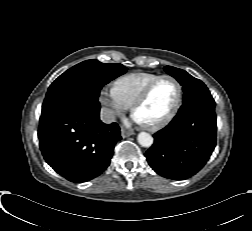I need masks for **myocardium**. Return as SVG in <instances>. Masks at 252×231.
<instances>
[{"label": "myocardium", "mask_w": 252, "mask_h": 231, "mask_svg": "<svg viewBox=\"0 0 252 231\" xmlns=\"http://www.w3.org/2000/svg\"><path fill=\"white\" fill-rule=\"evenodd\" d=\"M163 79H170L175 83L176 88H177L176 100L171 111L162 120L153 124H143L145 128L151 131H156L167 126L177 115L181 107L182 99H183V88L180 81L172 75H160L159 77H157L155 80H153L151 83L147 85V87L142 91V93L138 96V98L135 100V102L132 105V112L135 115L137 109L148 99L153 88Z\"/></svg>", "instance_id": "f54148a6"}]
</instances>
